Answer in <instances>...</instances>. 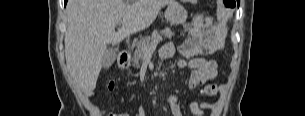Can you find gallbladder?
Segmentation results:
<instances>
[{"label": "gallbladder", "instance_id": "1", "mask_svg": "<svg viewBox=\"0 0 305 116\" xmlns=\"http://www.w3.org/2000/svg\"><path fill=\"white\" fill-rule=\"evenodd\" d=\"M117 57V51L115 49H109L105 52L103 56V67L109 68L114 63Z\"/></svg>", "mask_w": 305, "mask_h": 116}]
</instances>
